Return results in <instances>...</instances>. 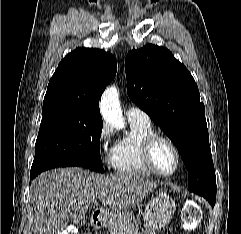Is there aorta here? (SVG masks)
Returning <instances> with one entry per match:
<instances>
[{
    "mask_svg": "<svg viewBox=\"0 0 241 234\" xmlns=\"http://www.w3.org/2000/svg\"><path fill=\"white\" fill-rule=\"evenodd\" d=\"M100 110L103 119L116 129L125 128L122 109L119 102V93L116 87H108L101 98Z\"/></svg>",
    "mask_w": 241,
    "mask_h": 234,
    "instance_id": "762f6f07",
    "label": "aorta"
}]
</instances>
